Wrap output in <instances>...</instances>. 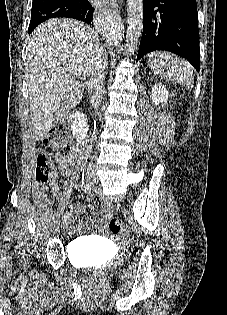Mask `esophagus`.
Returning a JSON list of instances; mask_svg holds the SVG:
<instances>
[{
    "label": "esophagus",
    "instance_id": "obj_1",
    "mask_svg": "<svg viewBox=\"0 0 227 315\" xmlns=\"http://www.w3.org/2000/svg\"><path fill=\"white\" fill-rule=\"evenodd\" d=\"M110 12H111V15L114 14L116 19L120 21V15L118 14L117 9H114V10L110 9Z\"/></svg>",
    "mask_w": 227,
    "mask_h": 315
}]
</instances>
